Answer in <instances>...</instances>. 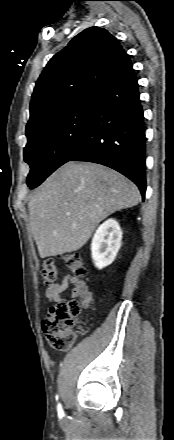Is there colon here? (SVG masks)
<instances>
[{"label": "colon", "instance_id": "colon-1", "mask_svg": "<svg viewBox=\"0 0 174 440\" xmlns=\"http://www.w3.org/2000/svg\"><path fill=\"white\" fill-rule=\"evenodd\" d=\"M69 270L77 277H84L86 269L81 256L76 252L61 256ZM42 276L46 285L57 281L58 271L52 258H47L42 264ZM81 304L77 300L58 303L52 306L42 322V330L47 344L56 350H66L75 341V330L81 326Z\"/></svg>", "mask_w": 174, "mask_h": 440}]
</instances>
